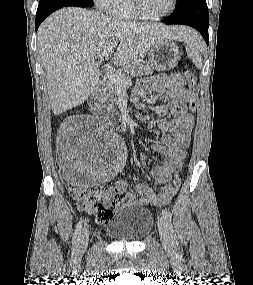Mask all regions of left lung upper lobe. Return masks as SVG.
Returning <instances> with one entry per match:
<instances>
[{
    "label": "left lung upper lobe",
    "mask_w": 253,
    "mask_h": 285,
    "mask_svg": "<svg viewBox=\"0 0 253 285\" xmlns=\"http://www.w3.org/2000/svg\"><path fill=\"white\" fill-rule=\"evenodd\" d=\"M181 1H183V0H177V4L180 3Z\"/></svg>",
    "instance_id": "left-lung-upper-lobe-1"
}]
</instances>
